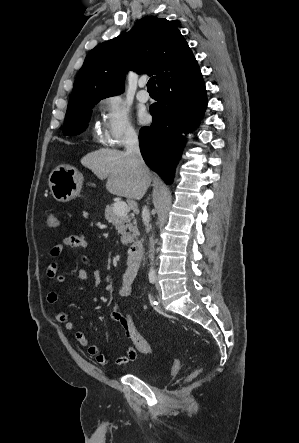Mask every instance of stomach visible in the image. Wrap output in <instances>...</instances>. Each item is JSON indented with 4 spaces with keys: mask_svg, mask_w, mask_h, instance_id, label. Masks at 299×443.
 Masks as SVG:
<instances>
[{
    "mask_svg": "<svg viewBox=\"0 0 299 443\" xmlns=\"http://www.w3.org/2000/svg\"><path fill=\"white\" fill-rule=\"evenodd\" d=\"M83 175L73 166L61 165L49 175V188L53 198L62 203L74 199L81 191Z\"/></svg>",
    "mask_w": 299,
    "mask_h": 443,
    "instance_id": "0dacf381",
    "label": "stomach"
}]
</instances>
